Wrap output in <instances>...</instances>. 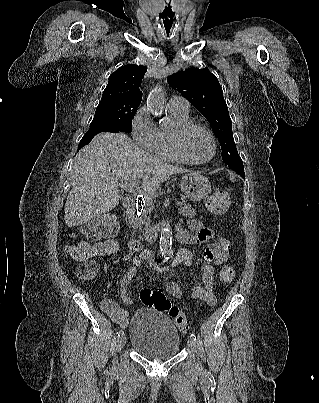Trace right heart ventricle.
Instances as JSON below:
<instances>
[{
	"label": "right heart ventricle",
	"instance_id": "obj_1",
	"mask_svg": "<svg viewBox=\"0 0 319 403\" xmlns=\"http://www.w3.org/2000/svg\"><path fill=\"white\" fill-rule=\"evenodd\" d=\"M168 112L172 120V126L168 129H157V145L155 154L162 160L174 163H182L184 161L179 158L173 147L172 131L177 125L189 121L190 116L188 111H180L177 109L168 108Z\"/></svg>",
	"mask_w": 319,
	"mask_h": 403
}]
</instances>
